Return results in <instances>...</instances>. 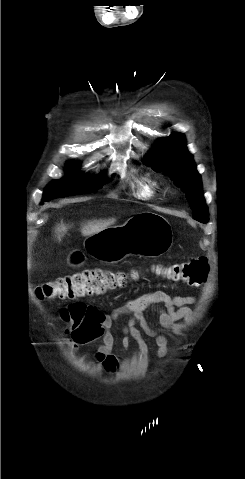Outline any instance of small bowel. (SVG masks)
<instances>
[{
	"instance_id": "c3829d8e",
	"label": "small bowel",
	"mask_w": 245,
	"mask_h": 479,
	"mask_svg": "<svg viewBox=\"0 0 245 479\" xmlns=\"http://www.w3.org/2000/svg\"><path fill=\"white\" fill-rule=\"evenodd\" d=\"M195 301L192 295L172 296L164 291L155 290L128 300L110 313L102 312L94 305H87V322L84 332L87 336L102 339L103 344L97 358L108 372L114 371L117 367V358L111 354L115 337L110 330L115 323L120 326L122 333L120 345L124 350L130 347L133 340L142 358L146 359L150 348L143 336L145 334L154 339L157 356L163 358L168 352L167 338L160 329L150 325L145 312L152 311L158 317L163 329L173 330L178 322L191 320L192 312L189 306ZM122 316H127V321L121 322ZM76 347V344H72V351L76 350Z\"/></svg>"
}]
</instances>
